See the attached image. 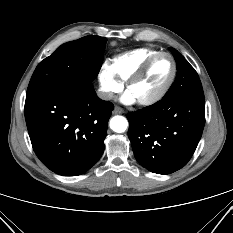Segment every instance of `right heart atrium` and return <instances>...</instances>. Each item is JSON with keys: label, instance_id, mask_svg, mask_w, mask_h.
Masks as SVG:
<instances>
[{"label": "right heart atrium", "instance_id": "obj_1", "mask_svg": "<svg viewBox=\"0 0 233 233\" xmlns=\"http://www.w3.org/2000/svg\"><path fill=\"white\" fill-rule=\"evenodd\" d=\"M98 82L101 95L106 100L112 99L123 89V83L117 79L107 64L101 66L98 73Z\"/></svg>", "mask_w": 233, "mask_h": 233}]
</instances>
